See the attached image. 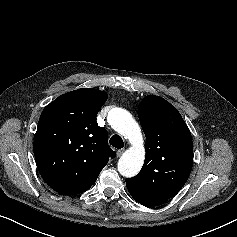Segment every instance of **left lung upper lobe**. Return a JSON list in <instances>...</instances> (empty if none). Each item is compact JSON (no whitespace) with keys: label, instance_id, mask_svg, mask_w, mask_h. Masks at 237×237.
<instances>
[{"label":"left lung upper lobe","instance_id":"1","mask_svg":"<svg viewBox=\"0 0 237 237\" xmlns=\"http://www.w3.org/2000/svg\"><path fill=\"white\" fill-rule=\"evenodd\" d=\"M146 136L144 165L126 179L133 199L146 207L165 203L186 183L193 158L192 137L178 110L165 99L148 95L138 107Z\"/></svg>","mask_w":237,"mask_h":237}]
</instances>
